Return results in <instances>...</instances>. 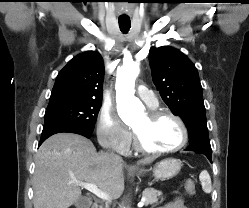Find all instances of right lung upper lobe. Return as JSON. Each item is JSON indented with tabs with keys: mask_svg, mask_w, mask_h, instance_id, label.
Listing matches in <instances>:
<instances>
[{
	"mask_svg": "<svg viewBox=\"0 0 249 208\" xmlns=\"http://www.w3.org/2000/svg\"><path fill=\"white\" fill-rule=\"evenodd\" d=\"M104 62L95 51H86L71 59L59 72L49 105L76 101H102Z\"/></svg>",
	"mask_w": 249,
	"mask_h": 208,
	"instance_id": "obj_1",
	"label": "right lung upper lobe"
}]
</instances>
